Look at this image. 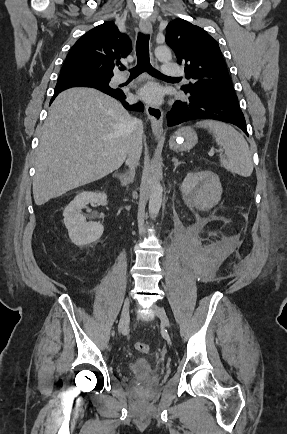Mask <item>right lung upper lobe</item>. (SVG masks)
Here are the masks:
<instances>
[{"instance_id":"1","label":"right lung upper lobe","mask_w":287,"mask_h":434,"mask_svg":"<svg viewBox=\"0 0 287 434\" xmlns=\"http://www.w3.org/2000/svg\"><path fill=\"white\" fill-rule=\"evenodd\" d=\"M132 50L130 38L121 34L114 22H105L84 34L71 48L61 71H86L113 76V69ZM57 85L92 86L80 81ZM56 85V86H57Z\"/></svg>"}]
</instances>
